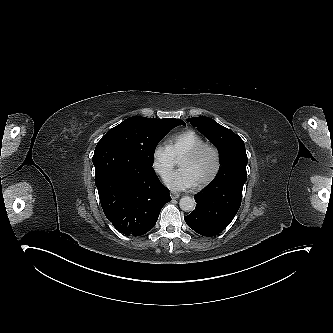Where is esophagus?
<instances>
[{"mask_svg":"<svg viewBox=\"0 0 333 333\" xmlns=\"http://www.w3.org/2000/svg\"><path fill=\"white\" fill-rule=\"evenodd\" d=\"M170 195H171V198H172V199H178L179 196H180V194H178V193H176V192H174V191H171V192H170Z\"/></svg>","mask_w":333,"mask_h":333,"instance_id":"34e87169","label":"esophagus"}]
</instances>
